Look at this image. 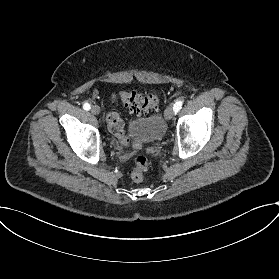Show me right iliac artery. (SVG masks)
Wrapping results in <instances>:
<instances>
[{"label": "right iliac artery", "mask_w": 279, "mask_h": 279, "mask_svg": "<svg viewBox=\"0 0 279 279\" xmlns=\"http://www.w3.org/2000/svg\"><path fill=\"white\" fill-rule=\"evenodd\" d=\"M83 109L86 110V111H88V110L91 109V107H90V105H89L88 103H85V104L83 105Z\"/></svg>", "instance_id": "82829eb1"}]
</instances>
